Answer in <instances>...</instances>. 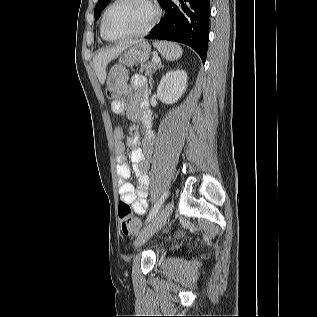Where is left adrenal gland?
Segmentation results:
<instances>
[{
    "label": "left adrenal gland",
    "mask_w": 317,
    "mask_h": 317,
    "mask_svg": "<svg viewBox=\"0 0 317 317\" xmlns=\"http://www.w3.org/2000/svg\"><path fill=\"white\" fill-rule=\"evenodd\" d=\"M161 67H163V65H162L161 63L158 64V65H157V68L155 69V71H156L157 69H160ZM149 83H150V91H151L152 88H153L152 76H150Z\"/></svg>",
    "instance_id": "obj_1"
}]
</instances>
